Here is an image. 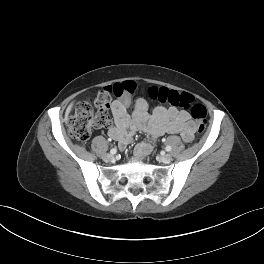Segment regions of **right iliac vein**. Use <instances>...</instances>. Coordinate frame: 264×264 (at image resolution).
I'll list each match as a JSON object with an SVG mask.
<instances>
[{
    "label": "right iliac vein",
    "instance_id": "63e3f726",
    "mask_svg": "<svg viewBox=\"0 0 264 264\" xmlns=\"http://www.w3.org/2000/svg\"><path fill=\"white\" fill-rule=\"evenodd\" d=\"M103 160H105V161H113L114 160V156L112 154H104L103 155Z\"/></svg>",
    "mask_w": 264,
    "mask_h": 264
}]
</instances>
